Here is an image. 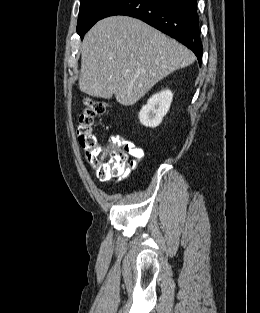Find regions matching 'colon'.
<instances>
[{"instance_id":"5ec220e1","label":"colon","mask_w":260,"mask_h":313,"mask_svg":"<svg viewBox=\"0 0 260 313\" xmlns=\"http://www.w3.org/2000/svg\"><path fill=\"white\" fill-rule=\"evenodd\" d=\"M109 103L102 99L86 98L78 119L76 135L85 161L94 169L100 180H109L121 176L128 165L129 153L133 145L125 139L115 136L108 143H100L93 131L95 117L104 114Z\"/></svg>"}]
</instances>
